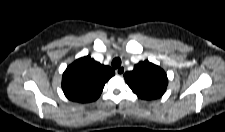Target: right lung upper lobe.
<instances>
[{
	"label": "right lung upper lobe",
	"instance_id": "right-lung-upper-lobe-1",
	"mask_svg": "<svg viewBox=\"0 0 225 132\" xmlns=\"http://www.w3.org/2000/svg\"><path fill=\"white\" fill-rule=\"evenodd\" d=\"M114 74L111 67L101 65L90 56H85L74 61L64 71L62 89L66 97L72 101H94Z\"/></svg>",
	"mask_w": 225,
	"mask_h": 132
}]
</instances>
